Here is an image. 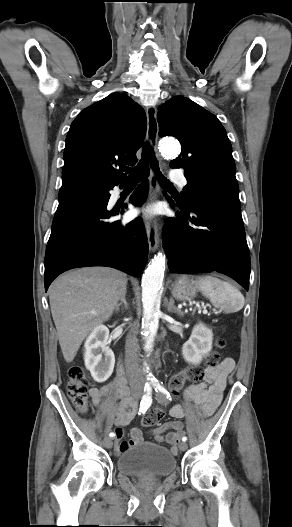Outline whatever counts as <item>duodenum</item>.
Wrapping results in <instances>:
<instances>
[{"instance_id":"duodenum-1","label":"duodenum","mask_w":292,"mask_h":527,"mask_svg":"<svg viewBox=\"0 0 292 527\" xmlns=\"http://www.w3.org/2000/svg\"><path fill=\"white\" fill-rule=\"evenodd\" d=\"M120 378L124 381V377L122 376V373H120Z\"/></svg>"}]
</instances>
